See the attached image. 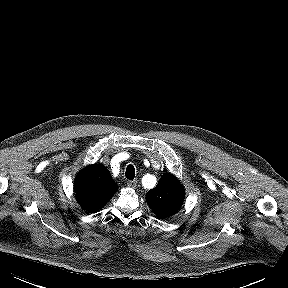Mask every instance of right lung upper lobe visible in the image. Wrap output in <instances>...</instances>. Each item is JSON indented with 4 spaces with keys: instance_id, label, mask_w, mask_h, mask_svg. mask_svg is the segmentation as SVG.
I'll return each instance as SVG.
<instances>
[{
    "instance_id": "right-lung-upper-lobe-1",
    "label": "right lung upper lobe",
    "mask_w": 288,
    "mask_h": 288,
    "mask_svg": "<svg viewBox=\"0 0 288 288\" xmlns=\"http://www.w3.org/2000/svg\"><path fill=\"white\" fill-rule=\"evenodd\" d=\"M78 203L89 212L103 208L117 191V185L103 165H89L75 178Z\"/></svg>"
}]
</instances>
